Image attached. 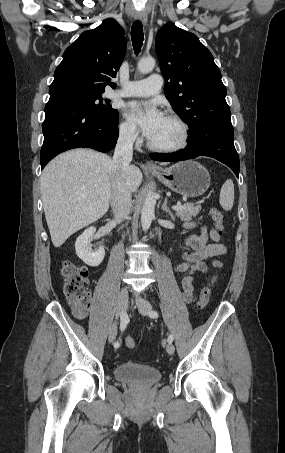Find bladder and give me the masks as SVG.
Returning <instances> with one entry per match:
<instances>
[{"label": "bladder", "instance_id": "31cf9c89", "mask_svg": "<svg viewBox=\"0 0 285 453\" xmlns=\"http://www.w3.org/2000/svg\"><path fill=\"white\" fill-rule=\"evenodd\" d=\"M114 375L119 381L138 386L153 385L161 378V372L158 369L131 362L118 365Z\"/></svg>", "mask_w": 285, "mask_h": 453}]
</instances>
